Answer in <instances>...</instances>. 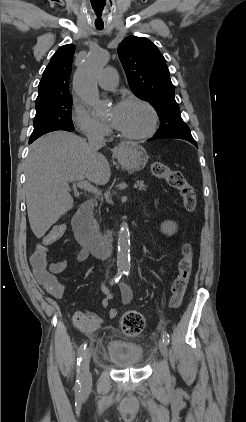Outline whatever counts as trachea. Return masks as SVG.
Returning a JSON list of instances; mask_svg holds the SVG:
<instances>
[{
  "mask_svg": "<svg viewBox=\"0 0 246 422\" xmlns=\"http://www.w3.org/2000/svg\"><path fill=\"white\" fill-rule=\"evenodd\" d=\"M101 5H102V2H101ZM97 29H98V30H102V29H103V27H97Z\"/></svg>",
  "mask_w": 246,
  "mask_h": 422,
  "instance_id": "obj_1",
  "label": "trachea"
}]
</instances>
